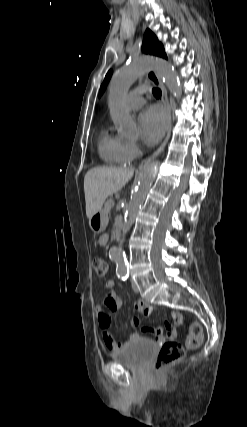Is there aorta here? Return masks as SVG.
<instances>
[{
  "instance_id": "obj_1",
  "label": "aorta",
  "mask_w": 247,
  "mask_h": 427,
  "mask_svg": "<svg viewBox=\"0 0 247 427\" xmlns=\"http://www.w3.org/2000/svg\"><path fill=\"white\" fill-rule=\"evenodd\" d=\"M154 69L166 83L168 89L175 96L181 97L182 87L177 72L167 62L154 57H140L115 71L109 85V107L111 118L118 126L120 133L131 137L137 135V124L123 106L124 98L134 81L148 69ZM159 162L154 161L147 165L140 175L138 185L131 195L129 205L124 215L123 232H129L134 220L144 203L147 193L157 175ZM109 257L116 263L119 274H126L127 260L121 247H113Z\"/></svg>"
}]
</instances>
